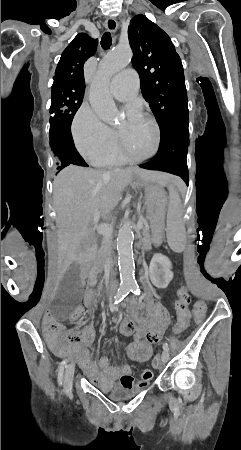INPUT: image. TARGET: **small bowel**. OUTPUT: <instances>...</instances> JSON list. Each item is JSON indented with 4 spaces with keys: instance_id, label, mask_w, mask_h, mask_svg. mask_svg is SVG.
<instances>
[{
    "instance_id": "obj_1",
    "label": "small bowel",
    "mask_w": 241,
    "mask_h": 450,
    "mask_svg": "<svg viewBox=\"0 0 241 450\" xmlns=\"http://www.w3.org/2000/svg\"><path fill=\"white\" fill-rule=\"evenodd\" d=\"M86 292L84 297V304L93 308L96 299V291L93 289V285L88 283L86 285ZM149 309L153 312L154 316H144L142 318V323L144 325H153V327H148V330H140L139 324H128L131 320H124L121 323V331L124 335H130L135 333L134 340L126 348L131 350L130 354L127 356L130 360L142 363V360H148L149 355L153 354L152 343H157L161 338L162 330H167L171 318L166 316V311L163 309L162 304H154L152 299L147 301ZM40 319H51V310H40ZM60 324L55 320H47L43 323L46 328L44 333L48 335L46 337V342L49 347H52L58 338L53 336L57 333V328ZM177 333L183 330H174ZM66 339L73 340L75 347L71 348L67 344L57 347L59 349L60 356H75L78 359L79 365L87 375V377L99 387L104 390H108L112 387L115 380H120V385L127 390H132L136 387L144 388L147 387L153 380L154 373L151 369H145L141 374V380L135 383L131 376V368L126 363H121L119 365H112L107 357H100L97 361H93L89 358L86 352V347L89 346L94 338V327L92 325H87L80 330L74 331L73 328H68L66 330ZM148 336H157V341L151 342Z\"/></svg>"
}]
</instances>
